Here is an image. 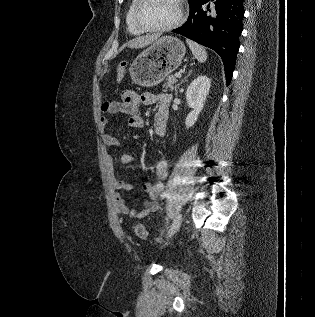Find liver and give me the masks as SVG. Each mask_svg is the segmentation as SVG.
I'll use <instances>...</instances> for the list:
<instances>
[{"instance_id":"1","label":"liver","mask_w":315,"mask_h":317,"mask_svg":"<svg viewBox=\"0 0 315 317\" xmlns=\"http://www.w3.org/2000/svg\"><path fill=\"white\" fill-rule=\"evenodd\" d=\"M159 37L160 36L157 34L141 36V37L132 39L131 41L128 42L127 45L131 49L143 48L154 43Z\"/></svg>"}]
</instances>
